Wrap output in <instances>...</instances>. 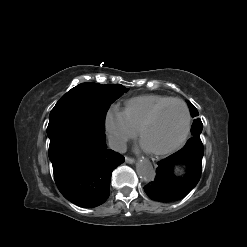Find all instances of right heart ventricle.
Returning <instances> with one entry per match:
<instances>
[{"instance_id": "right-heart-ventricle-1", "label": "right heart ventricle", "mask_w": 247, "mask_h": 247, "mask_svg": "<svg viewBox=\"0 0 247 247\" xmlns=\"http://www.w3.org/2000/svg\"><path fill=\"white\" fill-rule=\"evenodd\" d=\"M170 98L158 94H146L131 98L125 102L123 114L128 124L137 132L152 111Z\"/></svg>"}]
</instances>
